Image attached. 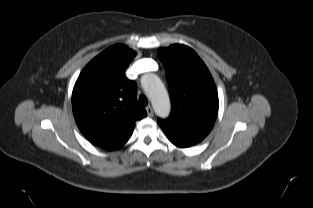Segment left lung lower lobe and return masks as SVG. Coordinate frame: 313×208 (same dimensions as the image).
Instances as JSON below:
<instances>
[{
  "mask_svg": "<svg viewBox=\"0 0 313 208\" xmlns=\"http://www.w3.org/2000/svg\"><path fill=\"white\" fill-rule=\"evenodd\" d=\"M176 146H177V145H176ZM178 147L184 148V146H178Z\"/></svg>",
  "mask_w": 313,
  "mask_h": 208,
  "instance_id": "left-lung-lower-lobe-1",
  "label": "left lung lower lobe"
}]
</instances>
